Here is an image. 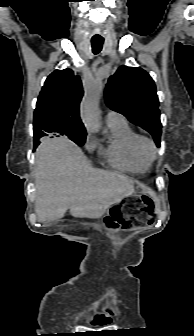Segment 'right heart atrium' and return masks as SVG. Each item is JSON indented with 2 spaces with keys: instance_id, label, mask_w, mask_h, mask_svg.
<instances>
[{
  "instance_id": "right-heart-atrium-1",
  "label": "right heart atrium",
  "mask_w": 194,
  "mask_h": 336,
  "mask_svg": "<svg viewBox=\"0 0 194 336\" xmlns=\"http://www.w3.org/2000/svg\"><path fill=\"white\" fill-rule=\"evenodd\" d=\"M86 144H87V146H88L89 148H92V147H94V145H95V141H94L93 137H92L90 134H88V135L86 136Z\"/></svg>"
}]
</instances>
